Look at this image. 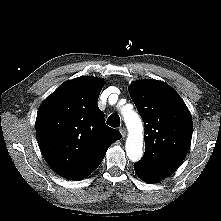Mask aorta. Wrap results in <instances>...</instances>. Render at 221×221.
<instances>
[{
    "label": "aorta",
    "instance_id": "aorta-1",
    "mask_svg": "<svg viewBox=\"0 0 221 221\" xmlns=\"http://www.w3.org/2000/svg\"><path fill=\"white\" fill-rule=\"evenodd\" d=\"M125 124L128 129L125 150L128 158L133 161H139L143 156V126L139 115L132 110L122 112Z\"/></svg>",
    "mask_w": 221,
    "mask_h": 221
}]
</instances>
